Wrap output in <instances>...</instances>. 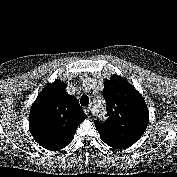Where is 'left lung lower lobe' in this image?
<instances>
[{
	"instance_id": "left-lung-lower-lobe-1",
	"label": "left lung lower lobe",
	"mask_w": 177,
	"mask_h": 177,
	"mask_svg": "<svg viewBox=\"0 0 177 177\" xmlns=\"http://www.w3.org/2000/svg\"><path fill=\"white\" fill-rule=\"evenodd\" d=\"M123 146L117 145L115 149H122Z\"/></svg>"
}]
</instances>
